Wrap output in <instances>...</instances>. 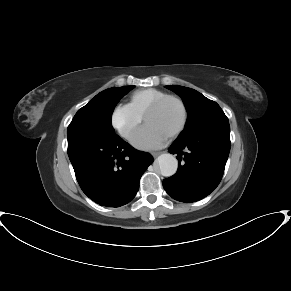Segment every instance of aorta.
Here are the masks:
<instances>
[{
	"mask_svg": "<svg viewBox=\"0 0 291 291\" xmlns=\"http://www.w3.org/2000/svg\"><path fill=\"white\" fill-rule=\"evenodd\" d=\"M160 173L165 177L174 175L178 168V161L174 155L170 153L161 154L157 158Z\"/></svg>",
	"mask_w": 291,
	"mask_h": 291,
	"instance_id": "762f6f07",
	"label": "aorta"
}]
</instances>
